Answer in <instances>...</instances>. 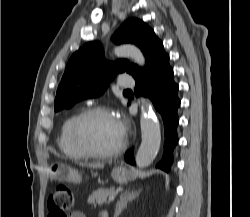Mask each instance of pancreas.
I'll list each match as a JSON object with an SVG mask.
<instances>
[{"label": "pancreas", "instance_id": "pancreas-1", "mask_svg": "<svg viewBox=\"0 0 250 217\" xmlns=\"http://www.w3.org/2000/svg\"><path fill=\"white\" fill-rule=\"evenodd\" d=\"M116 190L114 187H111L109 189H98L97 191L93 192L89 197H88V203L93 204L94 206L96 205H102L104 203H107V197L111 195H115Z\"/></svg>", "mask_w": 250, "mask_h": 217}]
</instances>
